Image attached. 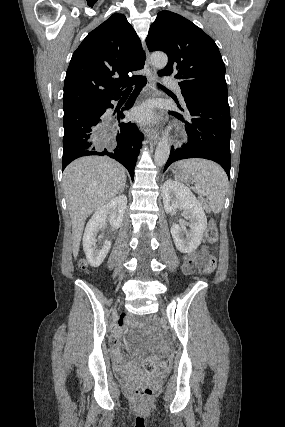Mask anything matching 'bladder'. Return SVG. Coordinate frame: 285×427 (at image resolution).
I'll list each match as a JSON object with an SVG mask.
<instances>
[{
  "label": "bladder",
  "instance_id": "obj_1",
  "mask_svg": "<svg viewBox=\"0 0 285 427\" xmlns=\"http://www.w3.org/2000/svg\"><path fill=\"white\" fill-rule=\"evenodd\" d=\"M133 374H134V371H131V372L127 375V377H128V378H131V377L133 376ZM144 376H145V377H148V378H151V379H155V378H158V377H159V374H156V373H149V374H144Z\"/></svg>",
  "mask_w": 285,
  "mask_h": 427
}]
</instances>
